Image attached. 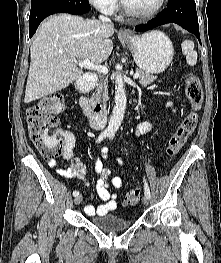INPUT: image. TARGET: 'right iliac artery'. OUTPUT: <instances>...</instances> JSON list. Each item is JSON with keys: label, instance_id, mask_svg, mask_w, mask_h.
Instances as JSON below:
<instances>
[{"label": "right iliac artery", "instance_id": "1", "mask_svg": "<svg viewBox=\"0 0 221 263\" xmlns=\"http://www.w3.org/2000/svg\"><path fill=\"white\" fill-rule=\"evenodd\" d=\"M106 136H108V134H106V133H102L100 136H99V138H98V140H97V142H100L101 140H103V138H105ZM79 195V192L78 191H73V196H78Z\"/></svg>", "mask_w": 221, "mask_h": 263}]
</instances>
